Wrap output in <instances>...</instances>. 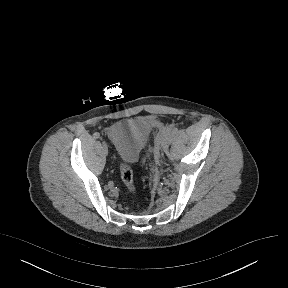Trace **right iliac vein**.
<instances>
[{"mask_svg":"<svg viewBox=\"0 0 288 288\" xmlns=\"http://www.w3.org/2000/svg\"><path fill=\"white\" fill-rule=\"evenodd\" d=\"M102 148H103L104 152L107 154L108 153V147H107L106 143L103 142Z\"/></svg>","mask_w":288,"mask_h":288,"instance_id":"1","label":"right iliac vein"}]
</instances>
